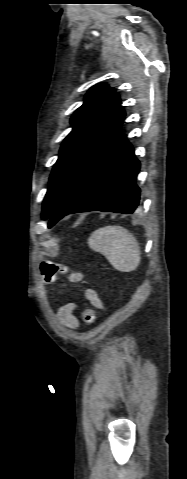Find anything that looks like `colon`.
<instances>
[{
	"instance_id": "5ec220e1",
	"label": "colon",
	"mask_w": 187,
	"mask_h": 479,
	"mask_svg": "<svg viewBox=\"0 0 187 479\" xmlns=\"http://www.w3.org/2000/svg\"><path fill=\"white\" fill-rule=\"evenodd\" d=\"M40 270L46 283L54 282L58 276L67 272L65 266L55 262H43ZM96 315L97 313L93 308H85L83 311V322L86 325H92L95 322Z\"/></svg>"
}]
</instances>
